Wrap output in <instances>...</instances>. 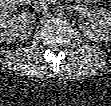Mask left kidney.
Here are the masks:
<instances>
[{
    "label": "left kidney",
    "instance_id": "left-kidney-1",
    "mask_svg": "<svg viewBox=\"0 0 111 106\" xmlns=\"http://www.w3.org/2000/svg\"><path fill=\"white\" fill-rule=\"evenodd\" d=\"M95 23L90 25L86 19H79V28L84 36L95 42L111 40V12L104 8H97L93 11Z\"/></svg>",
    "mask_w": 111,
    "mask_h": 106
}]
</instances>
